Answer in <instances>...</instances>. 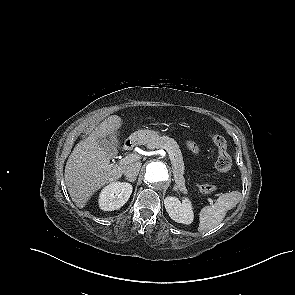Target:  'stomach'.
I'll return each instance as SVG.
<instances>
[{
    "mask_svg": "<svg viewBox=\"0 0 295 295\" xmlns=\"http://www.w3.org/2000/svg\"><path fill=\"white\" fill-rule=\"evenodd\" d=\"M159 137V133L153 130H138L130 136V140L139 144H147Z\"/></svg>",
    "mask_w": 295,
    "mask_h": 295,
    "instance_id": "1",
    "label": "stomach"
}]
</instances>
